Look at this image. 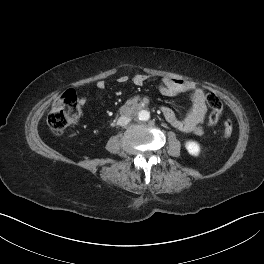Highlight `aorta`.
<instances>
[{
	"instance_id": "762f6f07",
	"label": "aorta",
	"mask_w": 264,
	"mask_h": 264,
	"mask_svg": "<svg viewBox=\"0 0 264 264\" xmlns=\"http://www.w3.org/2000/svg\"><path fill=\"white\" fill-rule=\"evenodd\" d=\"M137 119L140 121H148L150 119V112L147 110H141L137 114Z\"/></svg>"
}]
</instances>
